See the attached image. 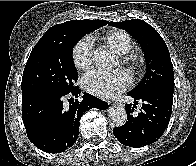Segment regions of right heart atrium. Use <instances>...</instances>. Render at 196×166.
<instances>
[{
	"label": "right heart atrium",
	"mask_w": 196,
	"mask_h": 166,
	"mask_svg": "<svg viewBox=\"0 0 196 166\" xmlns=\"http://www.w3.org/2000/svg\"><path fill=\"white\" fill-rule=\"evenodd\" d=\"M72 60L76 68L84 70L93 61V38L84 36L79 39L72 49Z\"/></svg>",
	"instance_id": "right-heart-atrium-1"
}]
</instances>
